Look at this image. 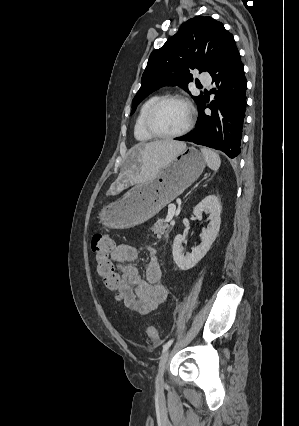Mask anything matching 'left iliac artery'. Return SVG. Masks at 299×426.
Masks as SVG:
<instances>
[{"label": "left iliac artery", "instance_id": "obj_1", "mask_svg": "<svg viewBox=\"0 0 299 426\" xmlns=\"http://www.w3.org/2000/svg\"><path fill=\"white\" fill-rule=\"evenodd\" d=\"M174 339H170L167 343L164 344L163 349H162V354L167 351V349L171 346V344L173 343ZM158 380V378H157Z\"/></svg>", "mask_w": 299, "mask_h": 426}]
</instances>
